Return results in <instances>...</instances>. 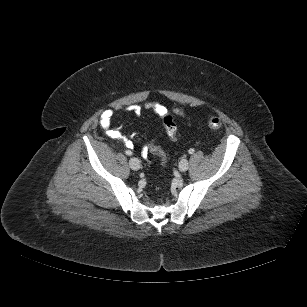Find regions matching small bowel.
<instances>
[{
  "mask_svg": "<svg viewBox=\"0 0 307 307\" xmlns=\"http://www.w3.org/2000/svg\"><path fill=\"white\" fill-rule=\"evenodd\" d=\"M146 110H151L158 114L160 117H163L165 114H167V109L159 104L156 103H149L145 106ZM132 112L135 113L136 115H139L141 112V107L140 106H132L131 108ZM174 113L182 118H185L184 112L175 107L173 109ZM113 111L110 109H107L102 112L100 118H99V125L100 127L104 130L105 134L113 139H121L125 143V145L130 148L132 147V142L129 138H126L122 135L120 128L118 127H113L112 126V119H113ZM148 154V151L146 148H143L141 151V155L143 157H146Z\"/></svg>",
  "mask_w": 307,
  "mask_h": 307,
  "instance_id": "obj_1",
  "label": "small bowel"
}]
</instances>
